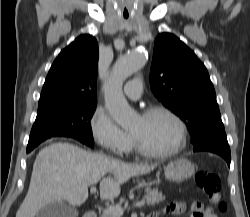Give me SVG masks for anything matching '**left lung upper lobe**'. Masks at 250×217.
I'll return each mask as SVG.
<instances>
[{"instance_id":"left-lung-upper-lobe-1","label":"left lung upper lobe","mask_w":250,"mask_h":217,"mask_svg":"<svg viewBox=\"0 0 250 217\" xmlns=\"http://www.w3.org/2000/svg\"><path fill=\"white\" fill-rule=\"evenodd\" d=\"M150 85L158 100L186 123L193 145L224 128L206 67L171 33L155 39Z\"/></svg>"}]
</instances>
